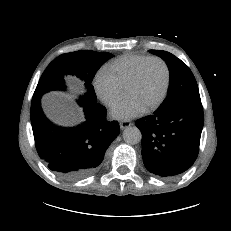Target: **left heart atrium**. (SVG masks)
<instances>
[{"mask_svg": "<svg viewBox=\"0 0 231 231\" xmlns=\"http://www.w3.org/2000/svg\"><path fill=\"white\" fill-rule=\"evenodd\" d=\"M144 111V106L141 105L136 99L126 97L124 100L112 107L110 115L114 119L129 120L142 114Z\"/></svg>", "mask_w": 231, "mask_h": 231, "instance_id": "1", "label": "left heart atrium"}]
</instances>
